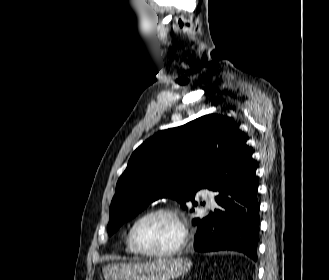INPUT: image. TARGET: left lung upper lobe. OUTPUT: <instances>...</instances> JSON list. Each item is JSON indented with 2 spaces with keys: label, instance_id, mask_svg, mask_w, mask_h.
Returning <instances> with one entry per match:
<instances>
[{
  "label": "left lung upper lobe",
  "instance_id": "5c2ea615",
  "mask_svg": "<svg viewBox=\"0 0 329 280\" xmlns=\"http://www.w3.org/2000/svg\"><path fill=\"white\" fill-rule=\"evenodd\" d=\"M245 139L230 118L209 114L161 131L132 154L119 178L110 206L109 235L161 198L177 200L185 210L202 189L218 192L240 170ZM190 212H194L191 209ZM199 218L193 220L197 225Z\"/></svg>",
  "mask_w": 329,
  "mask_h": 280
}]
</instances>
